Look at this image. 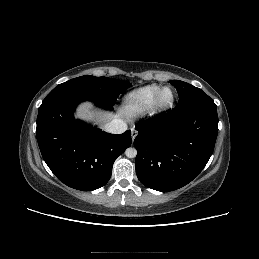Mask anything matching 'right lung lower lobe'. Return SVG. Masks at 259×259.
Wrapping results in <instances>:
<instances>
[{
  "label": "right lung lower lobe",
  "instance_id": "right-lung-lower-lobe-1",
  "mask_svg": "<svg viewBox=\"0 0 259 259\" xmlns=\"http://www.w3.org/2000/svg\"><path fill=\"white\" fill-rule=\"evenodd\" d=\"M86 100L108 110L113 106L81 95L53 98L39 107L36 135L54 175L71 188L92 191L108 182L114 161L132 141L130 130L113 135L75 120V107Z\"/></svg>",
  "mask_w": 259,
  "mask_h": 259
}]
</instances>
